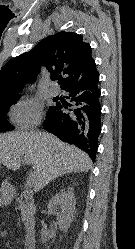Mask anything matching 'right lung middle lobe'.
<instances>
[{
  "label": "right lung middle lobe",
  "instance_id": "obj_1",
  "mask_svg": "<svg viewBox=\"0 0 135 249\" xmlns=\"http://www.w3.org/2000/svg\"><path fill=\"white\" fill-rule=\"evenodd\" d=\"M18 98L19 97L16 96L0 100V132H5L13 129V127H11L5 119L9 107L14 104L18 100Z\"/></svg>",
  "mask_w": 135,
  "mask_h": 249
}]
</instances>
